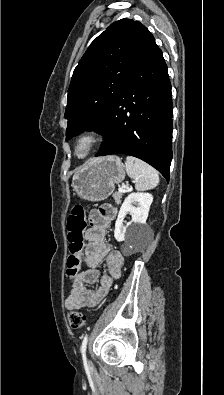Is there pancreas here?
Segmentation results:
<instances>
[{"label": "pancreas", "instance_id": "1", "mask_svg": "<svg viewBox=\"0 0 224 395\" xmlns=\"http://www.w3.org/2000/svg\"><path fill=\"white\" fill-rule=\"evenodd\" d=\"M122 194L120 192H116L113 194V199L117 204L121 203Z\"/></svg>", "mask_w": 224, "mask_h": 395}]
</instances>
